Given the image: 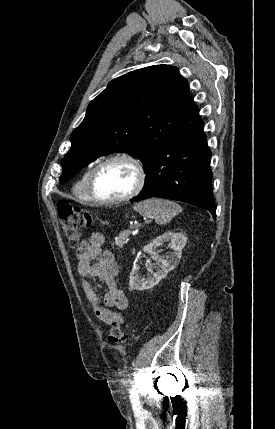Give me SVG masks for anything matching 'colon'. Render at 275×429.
Here are the masks:
<instances>
[{
    "label": "colon",
    "mask_w": 275,
    "mask_h": 429,
    "mask_svg": "<svg viewBox=\"0 0 275 429\" xmlns=\"http://www.w3.org/2000/svg\"><path fill=\"white\" fill-rule=\"evenodd\" d=\"M56 209L69 246L71 248L78 247L81 239V230L89 228L93 223L90 213L78 206L72 205L68 201L58 202ZM107 340L110 344L122 345L128 340V333L119 322H113L109 329Z\"/></svg>",
    "instance_id": "5ec220e1"
}]
</instances>
